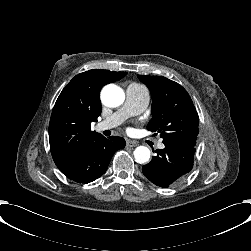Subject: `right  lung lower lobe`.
<instances>
[{"label":"right lung lower lobe","mask_w":251,"mask_h":251,"mask_svg":"<svg viewBox=\"0 0 251 251\" xmlns=\"http://www.w3.org/2000/svg\"><path fill=\"white\" fill-rule=\"evenodd\" d=\"M124 147L125 140L122 137L105 138L100 135L81 154L58 168L69 179L87 184L102 176L114 153Z\"/></svg>","instance_id":"1"}]
</instances>
